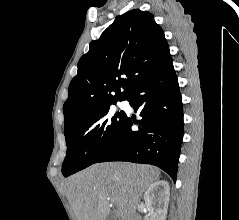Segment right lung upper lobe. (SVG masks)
Listing matches in <instances>:
<instances>
[{
  "mask_svg": "<svg viewBox=\"0 0 239 220\" xmlns=\"http://www.w3.org/2000/svg\"><path fill=\"white\" fill-rule=\"evenodd\" d=\"M170 60L164 32L151 13L134 9L116 17L78 62L63 106L64 130L95 109L125 100Z\"/></svg>",
  "mask_w": 239,
  "mask_h": 220,
  "instance_id": "cb5924a9",
  "label": "right lung upper lobe"
}]
</instances>
